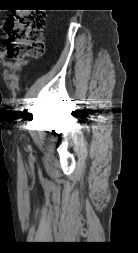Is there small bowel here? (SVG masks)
<instances>
[{
    "label": "small bowel",
    "instance_id": "obj_1",
    "mask_svg": "<svg viewBox=\"0 0 138 253\" xmlns=\"http://www.w3.org/2000/svg\"><path fill=\"white\" fill-rule=\"evenodd\" d=\"M5 57H6L5 52L2 49H0V58L4 59ZM13 68H14L15 72H19V70H20V67H19V65L17 63H15L13 65Z\"/></svg>",
    "mask_w": 138,
    "mask_h": 253
}]
</instances>
